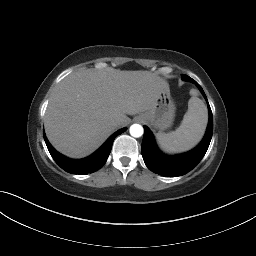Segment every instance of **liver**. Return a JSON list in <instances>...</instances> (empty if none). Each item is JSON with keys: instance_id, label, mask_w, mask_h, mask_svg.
I'll use <instances>...</instances> for the list:
<instances>
[{"instance_id": "1", "label": "liver", "mask_w": 256, "mask_h": 256, "mask_svg": "<svg viewBox=\"0 0 256 256\" xmlns=\"http://www.w3.org/2000/svg\"><path fill=\"white\" fill-rule=\"evenodd\" d=\"M167 82L149 71L79 70L54 89L44 117L56 150L70 158L93 153L127 115L147 111ZM118 121V125L113 123Z\"/></svg>"}]
</instances>
